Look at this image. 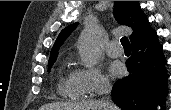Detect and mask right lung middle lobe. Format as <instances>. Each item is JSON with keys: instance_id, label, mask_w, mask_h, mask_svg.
I'll list each match as a JSON object with an SVG mask.
<instances>
[{"instance_id": "dd1d6c3e", "label": "right lung middle lobe", "mask_w": 171, "mask_h": 110, "mask_svg": "<svg viewBox=\"0 0 171 110\" xmlns=\"http://www.w3.org/2000/svg\"><path fill=\"white\" fill-rule=\"evenodd\" d=\"M56 58H57V56H54V57L49 58V61H48V69L51 68V66L55 62Z\"/></svg>"}]
</instances>
